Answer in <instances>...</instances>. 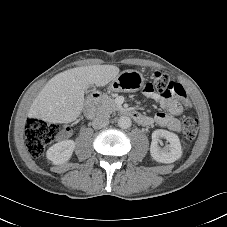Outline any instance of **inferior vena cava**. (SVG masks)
I'll use <instances>...</instances> for the list:
<instances>
[{"instance_id":"1","label":"inferior vena cava","mask_w":227,"mask_h":227,"mask_svg":"<svg viewBox=\"0 0 227 227\" xmlns=\"http://www.w3.org/2000/svg\"><path fill=\"white\" fill-rule=\"evenodd\" d=\"M109 124V119L106 116H97L92 121V126L94 129H101Z\"/></svg>"}]
</instances>
